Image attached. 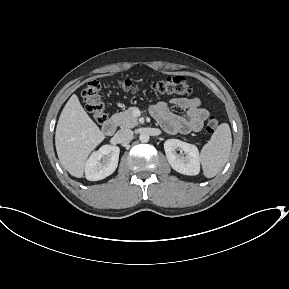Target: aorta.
<instances>
[{
  "label": "aorta",
  "instance_id": "762f6f07",
  "mask_svg": "<svg viewBox=\"0 0 289 289\" xmlns=\"http://www.w3.org/2000/svg\"><path fill=\"white\" fill-rule=\"evenodd\" d=\"M149 135L146 134V133H142L140 134L139 136V140L142 142V143H147L149 141Z\"/></svg>",
  "mask_w": 289,
  "mask_h": 289
}]
</instances>
